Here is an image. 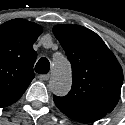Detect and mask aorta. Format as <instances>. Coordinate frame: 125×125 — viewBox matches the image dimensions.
Returning <instances> with one entry per match:
<instances>
[{
  "label": "aorta",
  "instance_id": "762f6f07",
  "mask_svg": "<svg viewBox=\"0 0 125 125\" xmlns=\"http://www.w3.org/2000/svg\"><path fill=\"white\" fill-rule=\"evenodd\" d=\"M71 66L68 60L60 57L53 61L52 74L49 81L50 90L58 95L63 96L68 93L71 88Z\"/></svg>",
  "mask_w": 125,
  "mask_h": 125
}]
</instances>
